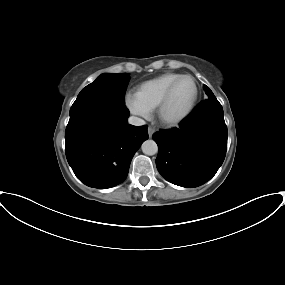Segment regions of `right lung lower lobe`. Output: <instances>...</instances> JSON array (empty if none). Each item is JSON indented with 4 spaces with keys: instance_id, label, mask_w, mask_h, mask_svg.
<instances>
[{
    "instance_id": "1",
    "label": "right lung lower lobe",
    "mask_w": 285,
    "mask_h": 285,
    "mask_svg": "<svg viewBox=\"0 0 285 285\" xmlns=\"http://www.w3.org/2000/svg\"><path fill=\"white\" fill-rule=\"evenodd\" d=\"M125 105L94 101L70 115L65 132L66 157L87 186L107 189L121 183L131 160L148 139L147 126L128 124Z\"/></svg>"
}]
</instances>
